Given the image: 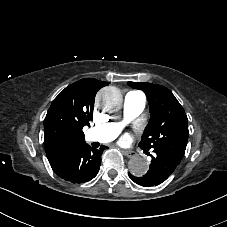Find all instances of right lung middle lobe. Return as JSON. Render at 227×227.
I'll return each mask as SVG.
<instances>
[{
  "label": "right lung middle lobe",
  "mask_w": 227,
  "mask_h": 227,
  "mask_svg": "<svg viewBox=\"0 0 227 227\" xmlns=\"http://www.w3.org/2000/svg\"><path fill=\"white\" fill-rule=\"evenodd\" d=\"M75 115H79L84 117L87 120H92V112H86V110H83L81 107L73 108L69 107L67 110L55 121L53 124L54 129H59L63 127L66 122L70 120V118L74 117Z\"/></svg>",
  "instance_id": "right-lung-middle-lobe-1"
}]
</instances>
